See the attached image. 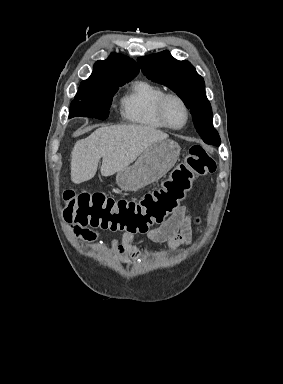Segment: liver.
Returning <instances> with one entry per match:
<instances>
[{
  "label": "liver",
  "instance_id": "1",
  "mask_svg": "<svg viewBox=\"0 0 283 384\" xmlns=\"http://www.w3.org/2000/svg\"><path fill=\"white\" fill-rule=\"evenodd\" d=\"M168 134L153 126H103L85 140H78L71 152V180L81 184L94 178L103 158L101 176H113L130 166L149 146L167 140Z\"/></svg>",
  "mask_w": 283,
  "mask_h": 384
}]
</instances>
